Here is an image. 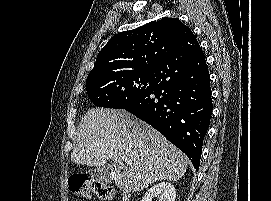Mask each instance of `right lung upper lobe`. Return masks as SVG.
I'll use <instances>...</instances> for the list:
<instances>
[{
  "label": "right lung upper lobe",
  "mask_w": 271,
  "mask_h": 201,
  "mask_svg": "<svg viewBox=\"0 0 271 201\" xmlns=\"http://www.w3.org/2000/svg\"><path fill=\"white\" fill-rule=\"evenodd\" d=\"M192 31L177 18H162L113 36L98 53L87 78L154 73Z\"/></svg>",
  "instance_id": "right-lung-upper-lobe-1"
}]
</instances>
